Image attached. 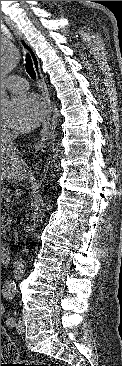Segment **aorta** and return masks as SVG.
Returning <instances> with one entry per match:
<instances>
[{
    "instance_id": "762f6f07",
    "label": "aorta",
    "mask_w": 122,
    "mask_h": 366,
    "mask_svg": "<svg viewBox=\"0 0 122 366\" xmlns=\"http://www.w3.org/2000/svg\"><path fill=\"white\" fill-rule=\"evenodd\" d=\"M21 55L19 50L15 45L9 41L1 43V114H5L9 108V96L5 89V79L6 77L21 63ZM42 208L49 210L51 205L42 202L40 203ZM45 217L44 212L39 209L34 212L33 223L31 225V234H35L36 228L40 226Z\"/></svg>"
}]
</instances>
